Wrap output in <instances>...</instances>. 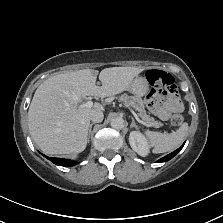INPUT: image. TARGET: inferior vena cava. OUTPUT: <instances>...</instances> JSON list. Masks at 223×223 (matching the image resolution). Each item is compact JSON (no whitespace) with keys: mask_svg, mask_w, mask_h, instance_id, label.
I'll return each mask as SVG.
<instances>
[{"mask_svg":"<svg viewBox=\"0 0 223 223\" xmlns=\"http://www.w3.org/2000/svg\"><path fill=\"white\" fill-rule=\"evenodd\" d=\"M104 114L100 109H93L90 113V120L94 122H101L103 120Z\"/></svg>","mask_w":223,"mask_h":223,"instance_id":"inferior-vena-cava-1","label":"inferior vena cava"}]
</instances>
